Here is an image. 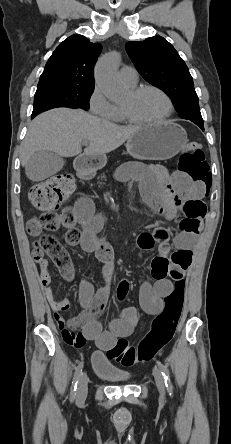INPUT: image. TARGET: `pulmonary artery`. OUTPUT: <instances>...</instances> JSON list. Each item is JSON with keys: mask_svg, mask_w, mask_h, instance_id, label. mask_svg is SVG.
<instances>
[{"mask_svg": "<svg viewBox=\"0 0 231 444\" xmlns=\"http://www.w3.org/2000/svg\"><path fill=\"white\" fill-rule=\"evenodd\" d=\"M119 77L126 85H136L138 81V74L136 69L129 66H124L120 69Z\"/></svg>", "mask_w": 231, "mask_h": 444, "instance_id": "pulmonary-artery-1", "label": "pulmonary artery"}]
</instances>
